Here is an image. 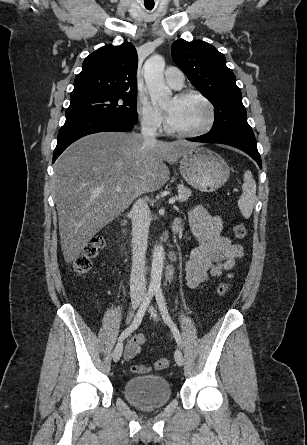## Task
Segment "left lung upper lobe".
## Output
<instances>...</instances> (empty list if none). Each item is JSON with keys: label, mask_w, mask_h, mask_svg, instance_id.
<instances>
[{"label": "left lung upper lobe", "mask_w": 307, "mask_h": 445, "mask_svg": "<svg viewBox=\"0 0 307 445\" xmlns=\"http://www.w3.org/2000/svg\"><path fill=\"white\" fill-rule=\"evenodd\" d=\"M171 53L177 66L215 108V120L210 132L230 129L252 131L247 123L235 75L226 66L222 53L207 42H187L183 39L172 44Z\"/></svg>", "instance_id": "obj_1"}]
</instances>
